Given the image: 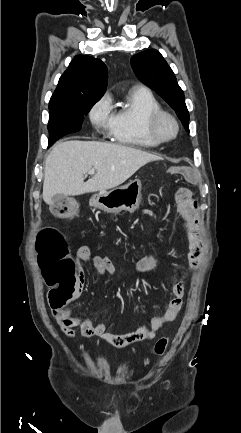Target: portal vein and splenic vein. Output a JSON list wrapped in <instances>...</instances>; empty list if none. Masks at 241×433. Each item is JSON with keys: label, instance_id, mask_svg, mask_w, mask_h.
<instances>
[{"label": "portal vein and splenic vein", "instance_id": "18ae733b", "mask_svg": "<svg viewBox=\"0 0 241 433\" xmlns=\"http://www.w3.org/2000/svg\"><path fill=\"white\" fill-rule=\"evenodd\" d=\"M87 173L90 175H93V174H95V171L92 169V170H89Z\"/></svg>", "mask_w": 241, "mask_h": 433}]
</instances>
